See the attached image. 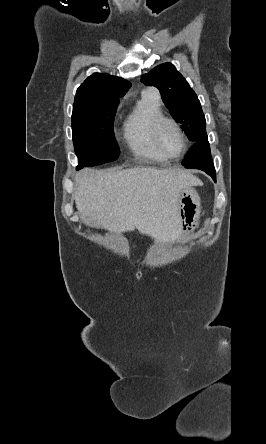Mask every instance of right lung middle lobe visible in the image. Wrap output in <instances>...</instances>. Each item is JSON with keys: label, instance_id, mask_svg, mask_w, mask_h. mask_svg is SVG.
I'll list each match as a JSON object with an SVG mask.
<instances>
[{"label": "right lung middle lobe", "instance_id": "right-lung-middle-lobe-1", "mask_svg": "<svg viewBox=\"0 0 266 444\" xmlns=\"http://www.w3.org/2000/svg\"><path fill=\"white\" fill-rule=\"evenodd\" d=\"M119 100H102L73 107L72 136L79 164L94 166L115 161L119 147L114 137L113 121Z\"/></svg>", "mask_w": 266, "mask_h": 444}]
</instances>
